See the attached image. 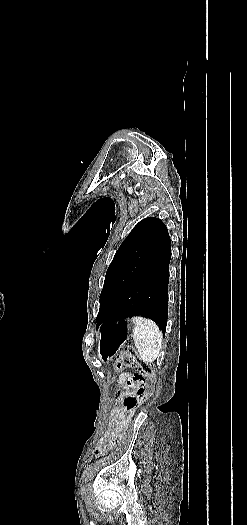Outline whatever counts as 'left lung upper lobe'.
<instances>
[{
	"instance_id": "5c2ea615",
	"label": "left lung upper lobe",
	"mask_w": 247,
	"mask_h": 525,
	"mask_svg": "<svg viewBox=\"0 0 247 525\" xmlns=\"http://www.w3.org/2000/svg\"><path fill=\"white\" fill-rule=\"evenodd\" d=\"M166 233L167 228L160 219L147 217L122 242L105 276L97 324L103 322L113 305L146 269Z\"/></svg>"
}]
</instances>
